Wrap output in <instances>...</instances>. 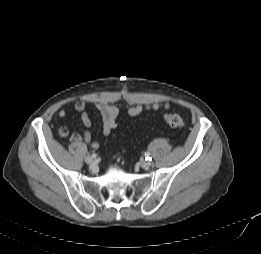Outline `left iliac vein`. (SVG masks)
<instances>
[{"label": "left iliac vein", "mask_w": 261, "mask_h": 254, "mask_svg": "<svg viewBox=\"0 0 261 254\" xmlns=\"http://www.w3.org/2000/svg\"><path fill=\"white\" fill-rule=\"evenodd\" d=\"M140 165H141L142 168L148 169L151 166V162L148 161V160H142L140 162Z\"/></svg>", "instance_id": "1"}]
</instances>
